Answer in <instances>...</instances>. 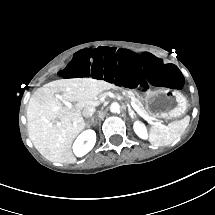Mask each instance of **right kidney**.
<instances>
[{"label":"right kidney","mask_w":215,"mask_h":215,"mask_svg":"<svg viewBox=\"0 0 215 215\" xmlns=\"http://www.w3.org/2000/svg\"><path fill=\"white\" fill-rule=\"evenodd\" d=\"M84 141L86 143L84 144ZM96 143V133L94 130L83 131L75 140L73 144V152L77 157H83L86 155Z\"/></svg>","instance_id":"ca27d5eb"}]
</instances>
